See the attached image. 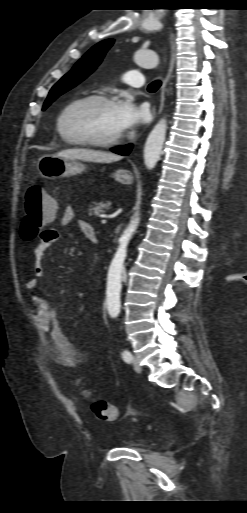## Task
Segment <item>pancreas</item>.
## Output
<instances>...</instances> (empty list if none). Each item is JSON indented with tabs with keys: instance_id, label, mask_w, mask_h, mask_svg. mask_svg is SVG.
<instances>
[{
	"instance_id": "obj_1",
	"label": "pancreas",
	"mask_w": 247,
	"mask_h": 513,
	"mask_svg": "<svg viewBox=\"0 0 247 513\" xmlns=\"http://www.w3.org/2000/svg\"><path fill=\"white\" fill-rule=\"evenodd\" d=\"M92 204L93 205H91L90 206L91 208L89 209V212L91 215L99 216L101 213H105L106 211H108L110 209L109 202H106V203L93 202Z\"/></svg>"
}]
</instances>
